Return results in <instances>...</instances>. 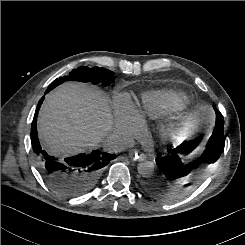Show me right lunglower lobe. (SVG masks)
Wrapping results in <instances>:
<instances>
[{"label":"right lung lower lobe","mask_w":245,"mask_h":245,"mask_svg":"<svg viewBox=\"0 0 245 245\" xmlns=\"http://www.w3.org/2000/svg\"><path fill=\"white\" fill-rule=\"evenodd\" d=\"M43 100L44 97L37 105L31 126V143L38 169L46 183L58 194L65 197L80 196L97 183L103 167L115 159L116 155L99 150L61 160L48 155L39 143L36 126Z\"/></svg>","instance_id":"obj_1"}]
</instances>
